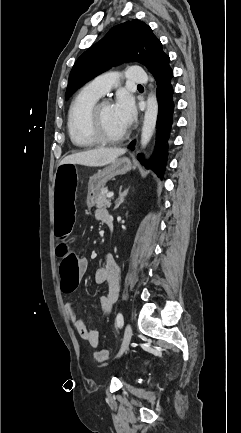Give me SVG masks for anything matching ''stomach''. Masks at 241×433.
I'll return each mask as SVG.
<instances>
[{
  "label": "stomach",
  "instance_id": "stomach-1",
  "mask_svg": "<svg viewBox=\"0 0 241 433\" xmlns=\"http://www.w3.org/2000/svg\"><path fill=\"white\" fill-rule=\"evenodd\" d=\"M133 167L130 159L123 157L116 159L110 163L103 170H100L95 175L89 178L88 192H87V205L93 206L94 201L99 192L105 187L106 183L117 175L126 174Z\"/></svg>",
  "mask_w": 241,
  "mask_h": 433
}]
</instances>
